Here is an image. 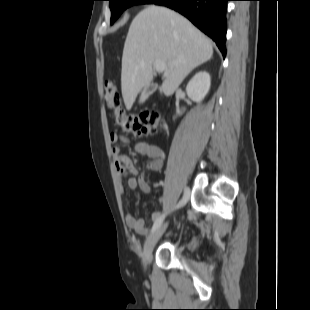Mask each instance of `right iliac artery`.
<instances>
[{"mask_svg": "<svg viewBox=\"0 0 310 310\" xmlns=\"http://www.w3.org/2000/svg\"><path fill=\"white\" fill-rule=\"evenodd\" d=\"M189 196H190V190L188 187H186L184 189V195H183V198L180 200V202L178 203L177 205V208L183 206L186 204V202L188 201L189 199ZM164 217L165 215L162 214L160 215L157 220L154 222L153 226H152V229H151V233L155 232L159 227L160 225L162 224L163 220H164Z\"/></svg>", "mask_w": 310, "mask_h": 310, "instance_id": "1", "label": "right iliac artery"}]
</instances>
